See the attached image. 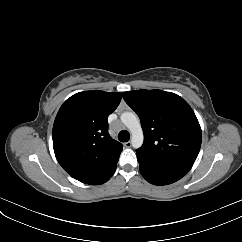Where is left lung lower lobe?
Segmentation results:
<instances>
[{
  "instance_id": "0a47b994",
  "label": "left lung lower lobe",
  "mask_w": 242,
  "mask_h": 242,
  "mask_svg": "<svg viewBox=\"0 0 242 242\" xmlns=\"http://www.w3.org/2000/svg\"><path fill=\"white\" fill-rule=\"evenodd\" d=\"M140 172L151 184L167 185L176 182L187 174V171L168 165L158 164L137 153Z\"/></svg>"
}]
</instances>
